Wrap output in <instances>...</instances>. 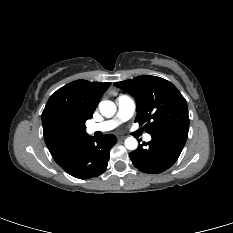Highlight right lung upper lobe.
<instances>
[{"label": "right lung upper lobe", "mask_w": 233, "mask_h": 233, "mask_svg": "<svg viewBox=\"0 0 233 233\" xmlns=\"http://www.w3.org/2000/svg\"><path fill=\"white\" fill-rule=\"evenodd\" d=\"M110 85L76 80L51 95L42 113V124L45 142L54 160L89 137L85 122L92 117Z\"/></svg>", "instance_id": "right-lung-upper-lobe-1"}]
</instances>
